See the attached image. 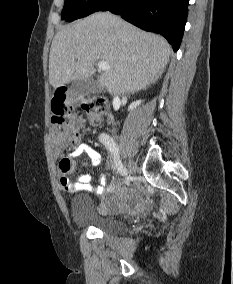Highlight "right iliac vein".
Listing matches in <instances>:
<instances>
[{
    "label": "right iliac vein",
    "instance_id": "right-iliac-vein-1",
    "mask_svg": "<svg viewBox=\"0 0 233 284\" xmlns=\"http://www.w3.org/2000/svg\"><path fill=\"white\" fill-rule=\"evenodd\" d=\"M136 166H135V163L132 161V160H129L128 161V169H129V173H128V181L129 182H133L134 181V176H135V173L133 172L135 170Z\"/></svg>",
    "mask_w": 233,
    "mask_h": 284
}]
</instances>
